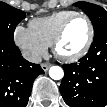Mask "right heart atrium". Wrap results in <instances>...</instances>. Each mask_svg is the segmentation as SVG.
Segmentation results:
<instances>
[{
  "instance_id": "d8ad5b80",
  "label": "right heart atrium",
  "mask_w": 107,
  "mask_h": 107,
  "mask_svg": "<svg viewBox=\"0 0 107 107\" xmlns=\"http://www.w3.org/2000/svg\"><path fill=\"white\" fill-rule=\"evenodd\" d=\"M14 40L32 61L40 60L47 52L48 46L28 27L17 26L14 31Z\"/></svg>"
}]
</instances>
